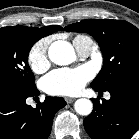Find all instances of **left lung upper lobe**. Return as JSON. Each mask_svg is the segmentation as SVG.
I'll list each match as a JSON object with an SVG mask.
<instances>
[{"label":"left lung upper lobe","mask_w":139,"mask_h":139,"mask_svg":"<svg viewBox=\"0 0 139 139\" xmlns=\"http://www.w3.org/2000/svg\"><path fill=\"white\" fill-rule=\"evenodd\" d=\"M70 32H85L98 42L104 65L91 87L106 91L123 77L139 71V29L127 21L83 20L65 27Z\"/></svg>","instance_id":"obj_1"}]
</instances>
